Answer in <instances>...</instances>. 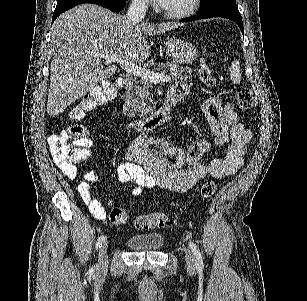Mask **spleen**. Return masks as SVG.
<instances>
[{
  "instance_id": "obj_1",
  "label": "spleen",
  "mask_w": 307,
  "mask_h": 301,
  "mask_svg": "<svg viewBox=\"0 0 307 301\" xmlns=\"http://www.w3.org/2000/svg\"><path fill=\"white\" fill-rule=\"evenodd\" d=\"M230 78L234 84H240L241 82V72H240V62L239 60H233L230 66Z\"/></svg>"
}]
</instances>
